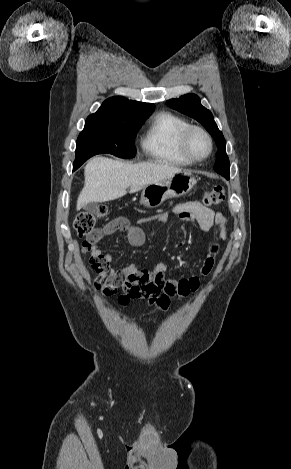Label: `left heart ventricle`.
I'll return each instance as SVG.
<instances>
[{
    "mask_svg": "<svg viewBox=\"0 0 291 469\" xmlns=\"http://www.w3.org/2000/svg\"><path fill=\"white\" fill-rule=\"evenodd\" d=\"M189 149L196 157L204 156L209 150L206 137L198 131L193 132L189 140Z\"/></svg>",
    "mask_w": 291,
    "mask_h": 469,
    "instance_id": "obj_1",
    "label": "left heart ventricle"
}]
</instances>
